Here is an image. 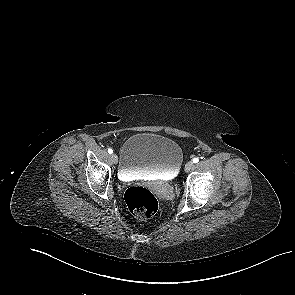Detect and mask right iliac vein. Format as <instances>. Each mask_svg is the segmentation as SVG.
Listing matches in <instances>:
<instances>
[{
	"label": "right iliac vein",
	"instance_id": "1",
	"mask_svg": "<svg viewBox=\"0 0 295 295\" xmlns=\"http://www.w3.org/2000/svg\"><path fill=\"white\" fill-rule=\"evenodd\" d=\"M111 159H112V162L114 164H117L118 163V156L116 154H112L111 155Z\"/></svg>",
	"mask_w": 295,
	"mask_h": 295
}]
</instances>
